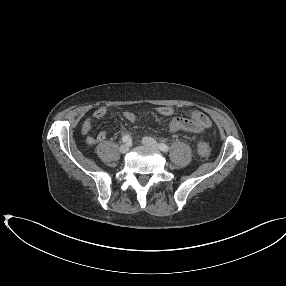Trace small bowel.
Returning <instances> with one entry per match:
<instances>
[{
    "instance_id": "small-bowel-1",
    "label": "small bowel",
    "mask_w": 286,
    "mask_h": 286,
    "mask_svg": "<svg viewBox=\"0 0 286 286\" xmlns=\"http://www.w3.org/2000/svg\"><path fill=\"white\" fill-rule=\"evenodd\" d=\"M160 115L169 118V131L172 133L185 132V133H200L211 127V121L206 114L200 111H188L184 114H177L172 107L160 106L157 108ZM107 114L105 106L97 107L92 114L94 119H101ZM123 117L128 122H135L136 115L131 111H125ZM92 127V119L87 118L82 124V133L87 136V144L90 146L106 139V132L100 131L96 136L90 134Z\"/></svg>"
}]
</instances>
